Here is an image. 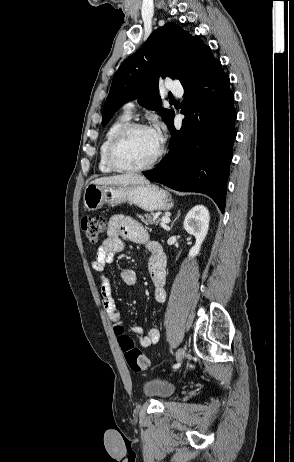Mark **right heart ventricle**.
Segmentation results:
<instances>
[{"mask_svg": "<svg viewBox=\"0 0 294 462\" xmlns=\"http://www.w3.org/2000/svg\"><path fill=\"white\" fill-rule=\"evenodd\" d=\"M130 113L124 111L122 114H120L118 117L114 119V121L109 125L107 128L104 138L102 140V143L99 147V153H98V167L99 170L104 173V174H110L113 173L114 170L108 165L106 161V151L108 144L112 137L115 135V133L125 124H127L130 120Z\"/></svg>", "mask_w": 294, "mask_h": 462, "instance_id": "1", "label": "right heart ventricle"}]
</instances>
